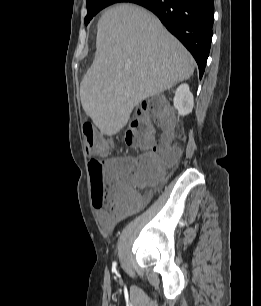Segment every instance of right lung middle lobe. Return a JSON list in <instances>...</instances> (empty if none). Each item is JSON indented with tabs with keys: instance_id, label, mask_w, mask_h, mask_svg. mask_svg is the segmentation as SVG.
Listing matches in <instances>:
<instances>
[{
	"instance_id": "right-lung-middle-lobe-1",
	"label": "right lung middle lobe",
	"mask_w": 261,
	"mask_h": 306,
	"mask_svg": "<svg viewBox=\"0 0 261 306\" xmlns=\"http://www.w3.org/2000/svg\"><path fill=\"white\" fill-rule=\"evenodd\" d=\"M118 2V0H87L88 13L85 17V24L87 25L89 21L103 8Z\"/></svg>"
}]
</instances>
